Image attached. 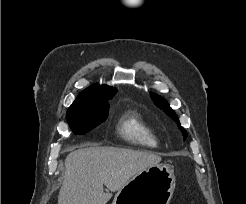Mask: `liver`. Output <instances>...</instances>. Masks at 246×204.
Here are the masks:
<instances>
[{
  "label": "liver",
  "mask_w": 246,
  "mask_h": 204,
  "mask_svg": "<svg viewBox=\"0 0 246 204\" xmlns=\"http://www.w3.org/2000/svg\"><path fill=\"white\" fill-rule=\"evenodd\" d=\"M161 157L145 151L116 147H83L65 160V177L58 204H106L132 177L157 165Z\"/></svg>",
  "instance_id": "liver-1"
}]
</instances>
